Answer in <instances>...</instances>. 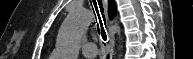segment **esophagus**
I'll return each mask as SVG.
<instances>
[{"instance_id":"esophagus-1","label":"esophagus","mask_w":193,"mask_h":59,"mask_svg":"<svg viewBox=\"0 0 193 59\" xmlns=\"http://www.w3.org/2000/svg\"><path fill=\"white\" fill-rule=\"evenodd\" d=\"M98 3H100V1H97V0H91V4H92V7L94 8L95 10V5L97 4L98 6ZM102 3L105 5L106 9L108 8V3L106 0L102 1ZM105 42V41H104ZM107 49L110 53V59L113 58V55L115 53V50H114V45H115V38H114V33L111 31L110 32V35L109 37L107 38Z\"/></svg>"}]
</instances>
